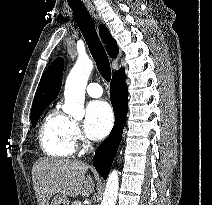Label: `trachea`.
<instances>
[{"mask_svg": "<svg viewBox=\"0 0 212 205\" xmlns=\"http://www.w3.org/2000/svg\"><path fill=\"white\" fill-rule=\"evenodd\" d=\"M75 20L82 32L89 47L91 55L96 62L97 69L101 76L109 82L111 80V68L108 56L98 37L94 23L90 18L89 12L83 4H70Z\"/></svg>", "mask_w": 212, "mask_h": 205, "instance_id": "3493384b", "label": "trachea"}]
</instances>
